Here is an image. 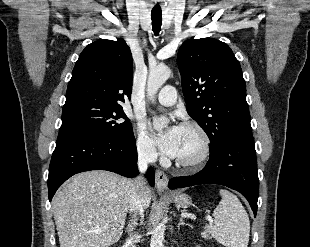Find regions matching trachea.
<instances>
[{
    "label": "trachea",
    "mask_w": 310,
    "mask_h": 247,
    "mask_svg": "<svg viewBox=\"0 0 310 247\" xmlns=\"http://www.w3.org/2000/svg\"><path fill=\"white\" fill-rule=\"evenodd\" d=\"M151 19H152V30L155 35H158L161 30V25H162L161 10H152Z\"/></svg>",
    "instance_id": "1"
}]
</instances>
